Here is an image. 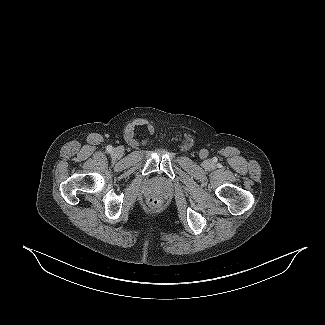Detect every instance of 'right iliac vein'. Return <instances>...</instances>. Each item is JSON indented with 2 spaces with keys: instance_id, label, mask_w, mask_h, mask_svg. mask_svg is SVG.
<instances>
[{
  "instance_id": "right-iliac-vein-1",
  "label": "right iliac vein",
  "mask_w": 325,
  "mask_h": 325,
  "mask_svg": "<svg viewBox=\"0 0 325 325\" xmlns=\"http://www.w3.org/2000/svg\"><path fill=\"white\" fill-rule=\"evenodd\" d=\"M122 149L121 148H115L112 151V157L115 159H119L122 157Z\"/></svg>"
}]
</instances>
